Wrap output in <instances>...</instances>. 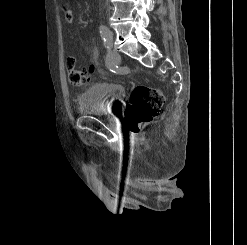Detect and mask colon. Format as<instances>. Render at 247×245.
I'll use <instances>...</instances> for the list:
<instances>
[{"mask_svg":"<svg viewBox=\"0 0 247 245\" xmlns=\"http://www.w3.org/2000/svg\"><path fill=\"white\" fill-rule=\"evenodd\" d=\"M66 69L68 79L74 86L84 85L95 71L93 65L77 69L76 60L72 56L66 58ZM163 102L164 97L160 90L144 85L136 86L130 94L125 113L129 129L138 131L143 124L154 119L160 113Z\"/></svg>","mask_w":247,"mask_h":245,"instance_id":"1","label":"colon"}]
</instances>
